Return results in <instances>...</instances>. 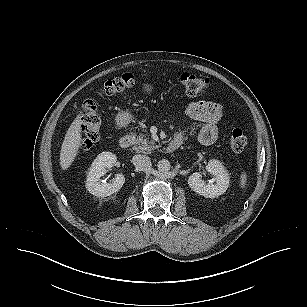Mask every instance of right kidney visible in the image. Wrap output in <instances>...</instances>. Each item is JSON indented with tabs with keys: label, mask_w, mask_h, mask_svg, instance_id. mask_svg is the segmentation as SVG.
I'll use <instances>...</instances> for the list:
<instances>
[{
	"label": "right kidney",
	"mask_w": 307,
	"mask_h": 307,
	"mask_svg": "<svg viewBox=\"0 0 307 307\" xmlns=\"http://www.w3.org/2000/svg\"><path fill=\"white\" fill-rule=\"evenodd\" d=\"M116 155L111 152L100 153L92 162L87 175L86 188L94 196L106 197L118 192L125 183L123 174H116L111 183H101L100 177L104 176L107 168L116 163Z\"/></svg>",
	"instance_id": "ca27d5eb"
}]
</instances>
